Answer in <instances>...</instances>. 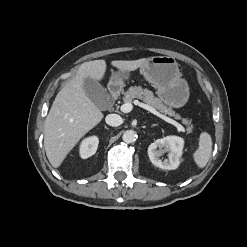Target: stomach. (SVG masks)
Masks as SVG:
<instances>
[{"label": "stomach", "instance_id": "obj_1", "mask_svg": "<svg viewBox=\"0 0 247 247\" xmlns=\"http://www.w3.org/2000/svg\"><path fill=\"white\" fill-rule=\"evenodd\" d=\"M145 79L155 88L157 95L166 105L173 108L184 106L189 99V86L182 79L178 63L170 56H153L146 58L140 67ZM130 72L117 71L112 73L110 85L122 88L124 80L128 79Z\"/></svg>", "mask_w": 247, "mask_h": 247}]
</instances>
